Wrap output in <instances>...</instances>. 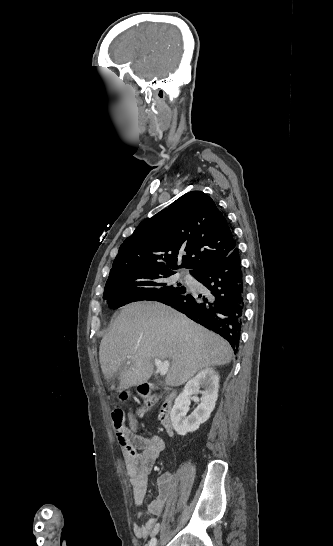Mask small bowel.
Returning a JSON list of instances; mask_svg holds the SVG:
<instances>
[{
    "label": "small bowel",
    "instance_id": "small-bowel-1",
    "mask_svg": "<svg viewBox=\"0 0 333 546\" xmlns=\"http://www.w3.org/2000/svg\"><path fill=\"white\" fill-rule=\"evenodd\" d=\"M129 435L135 448V454L131 455L123 449L125 468L130 477L133 499L136 505H140L145 497L149 476L159 455L165 448V442L159 435L144 437L137 433V420L132 413L128 414ZM139 451V452H137ZM173 494V485L169 476L162 477L159 482V492L149 504L144 523H135L133 530L138 538H145L150 533L158 531L157 519L162 514L166 504ZM144 516L139 513L138 517Z\"/></svg>",
    "mask_w": 333,
    "mask_h": 546
}]
</instances>
